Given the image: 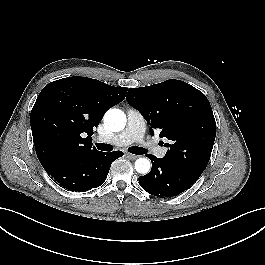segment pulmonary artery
<instances>
[{"label": "pulmonary artery", "instance_id": "e3ab8cb5", "mask_svg": "<svg viewBox=\"0 0 265 265\" xmlns=\"http://www.w3.org/2000/svg\"><path fill=\"white\" fill-rule=\"evenodd\" d=\"M145 122L142 115L135 109L129 108L127 110V126L123 132L113 136L110 143L117 146H127L133 142H141L145 133ZM100 141H107L103 138H99ZM155 155L159 158H163L166 154V149L151 145Z\"/></svg>", "mask_w": 265, "mask_h": 265}]
</instances>
